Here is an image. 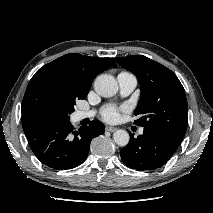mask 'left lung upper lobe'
Wrapping results in <instances>:
<instances>
[{
	"label": "left lung upper lobe",
	"instance_id": "1",
	"mask_svg": "<svg viewBox=\"0 0 213 213\" xmlns=\"http://www.w3.org/2000/svg\"><path fill=\"white\" fill-rule=\"evenodd\" d=\"M125 69L132 71L140 83L141 98L135 110V124L164 130L184 137L188 105L184 88L167 67L146 56L116 57Z\"/></svg>",
	"mask_w": 213,
	"mask_h": 213
}]
</instances>
